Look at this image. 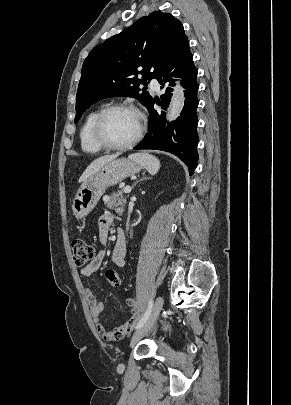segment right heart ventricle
<instances>
[{
    "label": "right heart ventricle",
    "instance_id": "1",
    "mask_svg": "<svg viewBox=\"0 0 291 405\" xmlns=\"http://www.w3.org/2000/svg\"><path fill=\"white\" fill-rule=\"evenodd\" d=\"M98 112L99 110L97 109L89 112L85 117L79 131L80 147L83 152L88 154H96L101 152L103 149L95 143L91 134L92 124Z\"/></svg>",
    "mask_w": 291,
    "mask_h": 405
}]
</instances>
